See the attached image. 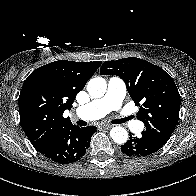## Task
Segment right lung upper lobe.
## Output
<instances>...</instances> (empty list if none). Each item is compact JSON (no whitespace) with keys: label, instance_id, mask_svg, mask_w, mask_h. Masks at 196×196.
Returning a JSON list of instances; mask_svg holds the SVG:
<instances>
[{"label":"right lung upper lobe","instance_id":"1","mask_svg":"<svg viewBox=\"0 0 196 196\" xmlns=\"http://www.w3.org/2000/svg\"><path fill=\"white\" fill-rule=\"evenodd\" d=\"M100 65V61L59 60L37 68L27 77L18 100L19 114L35 149L73 125L69 118H63V112L72 108L77 93Z\"/></svg>","mask_w":196,"mask_h":196}]
</instances>
